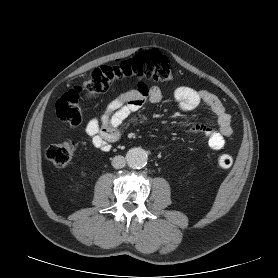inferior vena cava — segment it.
Returning a JSON list of instances; mask_svg holds the SVG:
<instances>
[{"label":"inferior vena cava","instance_id":"obj_1","mask_svg":"<svg viewBox=\"0 0 278 278\" xmlns=\"http://www.w3.org/2000/svg\"><path fill=\"white\" fill-rule=\"evenodd\" d=\"M126 164V160L123 156L121 155H118V156H115L113 159H112V166L115 168V169H121L125 166Z\"/></svg>","mask_w":278,"mask_h":278}]
</instances>
